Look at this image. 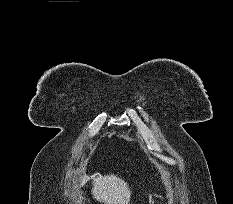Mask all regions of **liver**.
I'll use <instances>...</instances> for the list:
<instances>
[{
  "mask_svg": "<svg viewBox=\"0 0 233 204\" xmlns=\"http://www.w3.org/2000/svg\"><path fill=\"white\" fill-rule=\"evenodd\" d=\"M93 197L104 204H128L131 191L128 184L116 175H101L96 173L91 176ZM88 181V176L83 175L80 186Z\"/></svg>",
  "mask_w": 233,
  "mask_h": 204,
  "instance_id": "6515ba94",
  "label": "liver"
}]
</instances>
